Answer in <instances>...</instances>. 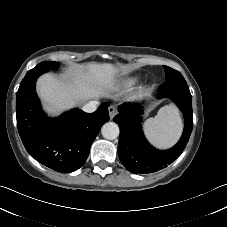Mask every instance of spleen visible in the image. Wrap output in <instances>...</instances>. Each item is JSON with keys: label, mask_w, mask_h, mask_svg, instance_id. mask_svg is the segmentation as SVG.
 <instances>
[{"label": "spleen", "mask_w": 227, "mask_h": 227, "mask_svg": "<svg viewBox=\"0 0 227 227\" xmlns=\"http://www.w3.org/2000/svg\"><path fill=\"white\" fill-rule=\"evenodd\" d=\"M148 140L158 148L173 146L182 132V120L179 111L173 105L162 107L154 118L144 124Z\"/></svg>", "instance_id": "spleen-1"}]
</instances>
